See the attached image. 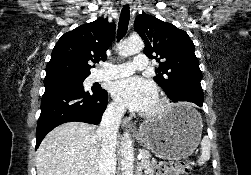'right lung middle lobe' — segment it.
Masks as SVG:
<instances>
[{
    "label": "right lung middle lobe",
    "mask_w": 251,
    "mask_h": 175,
    "mask_svg": "<svg viewBox=\"0 0 251 175\" xmlns=\"http://www.w3.org/2000/svg\"><path fill=\"white\" fill-rule=\"evenodd\" d=\"M85 78L86 77L47 79V80H44V84L46 85L52 82H63V83H71V84L83 87V81L85 80Z\"/></svg>",
    "instance_id": "obj_1"
}]
</instances>
